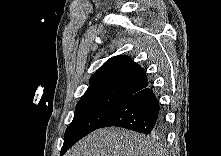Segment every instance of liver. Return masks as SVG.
<instances>
[{"label":"liver","mask_w":221,"mask_h":156,"mask_svg":"<svg viewBox=\"0 0 221 156\" xmlns=\"http://www.w3.org/2000/svg\"><path fill=\"white\" fill-rule=\"evenodd\" d=\"M161 152L160 145L150 137L112 127L84 137L66 156H160Z\"/></svg>","instance_id":"6515ba94"}]
</instances>
